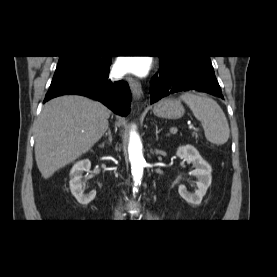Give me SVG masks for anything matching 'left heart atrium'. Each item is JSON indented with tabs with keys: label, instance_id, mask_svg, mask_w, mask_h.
<instances>
[{
	"label": "left heart atrium",
	"instance_id": "left-heart-atrium-1",
	"mask_svg": "<svg viewBox=\"0 0 277 277\" xmlns=\"http://www.w3.org/2000/svg\"><path fill=\"white\" fill-rule=\"evenodd\" d=\"M117 68L121 73H135L143 75L149 68V63L144 58H124L117 62Z\"/></svg>",
	"mask_w": 277,
	"mask_h": 277
}]
</instances>
